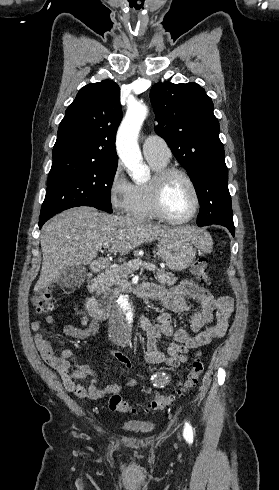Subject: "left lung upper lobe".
Wrapping results in <instances>:
<instances>
[{"instance_id": "1", "label": "left lung upper lobe", "mask_w": 279, "mask_h": 490, "mask_svg": "<svg viewBox=\"0 0 279 490\" xmlns=\"http://www.w3.org/2000/svg\"><path fill=\"white\" fill-rule=\"evenodd\" d=\"M156 133L165 139L194 184L198 226L233 224L228 170L213 103L198 84L156 83L150 91Z\"/></svg>"}]
</instances>
